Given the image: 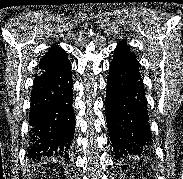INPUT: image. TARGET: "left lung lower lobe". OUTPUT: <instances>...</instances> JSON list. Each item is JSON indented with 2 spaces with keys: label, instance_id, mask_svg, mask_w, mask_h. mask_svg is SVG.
Wrapping results in <instances>:
<instances>
[{
  "label": "left lung lower lobe",
  "instance_id": "obj_1",
  "mask_svg": "<svg viewBox=\"0 0 183 179\" xmlns=\"http://www.w3.org/2000/svg\"><path fill=\"white\" fill-rule=\"evenodd\" d=\"M105 109L116 159L150 148L144 84L136 56L124 41L117 45L109 67Z\"/></svg>",
  "mask_w": 183,
  "mask_h": 179
}]
</instances>
